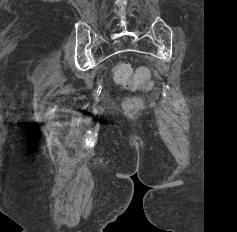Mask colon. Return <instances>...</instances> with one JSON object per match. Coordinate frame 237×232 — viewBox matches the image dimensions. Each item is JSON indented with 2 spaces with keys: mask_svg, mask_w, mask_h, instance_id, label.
Returning <instances> with one entry per match:
<instances>
[{
  "mask_svg": "<svg viewBox=\"0 0 237 232\" xmlns=\"http://www.w3.org/2000/svg\"><path fill=\"white\" fill-rule=\"evenodd\" d=\"M114 79L124 87L136 90L151 85L150 73L146 68H139L132 73V68L127 63L118 64L114 69Z\"/></svg>",
  "mask_w": 237,
  "mask_h": 232,
  "instance_id": "1",
  "label": "colon"
}]
</instances>
